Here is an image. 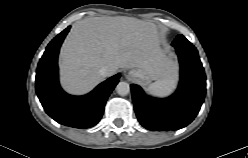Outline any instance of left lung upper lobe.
Masks as SVG:
<instances>
[{"label": "left lung upper lobe", "mask_w": 248, "mask_h": 158, "mask_svg": "<svg viewBox=\"0 0 248 158\" xmlns=\"http://www.w3.org/2000/svg\"><path fill=\"white\" fill-rule=\"evenodd\" d=\"M177 40H179V41H182V40H187L184 36H182V35H178L177 36V38H176Z\"/></svg>", "instance_id": "obj_1"}]
</instances>
